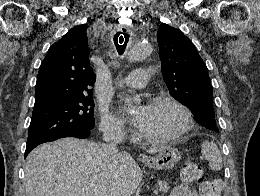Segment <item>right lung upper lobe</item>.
Instances as JSON below:
<instances>
[{
  "mask_svg": "<svg viewBox=\"0 0 260 196\" xmlns=\"http://www.w3.org/2000/svg\"><path fill=\"white\" fill-rule=\"evenodd\" d=\"M86 30L85 24L75 26L49 48L38 72L35 105L57 96L92 92L95 74Z\"/></svg>",
  "mask_w": 260,
  "mask_h": 196,
  "instance_id": "obj_1",
  "label": "right lung upper lobe"
}]
</instances>
